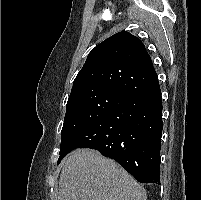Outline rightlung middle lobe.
<instances>
[{"mask_svg": "<svg viewBox=\"0 0 201 200\" xmlns=\"http://www.w3.org/2000/svg\"><path fill=\"white\" fill-rule=\"evenodd\" d=\"M128 99L123 94L109 90L86 91L69 96L58 163L67 154L65 147L74 136Z\"/></svg>", "mask_w": 201, "mask_h": 200, "instance_id": "obj_1", "label": "right lung middle lobe"}]
</instances>
